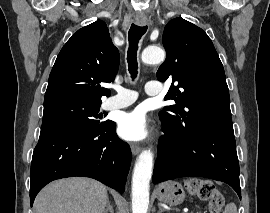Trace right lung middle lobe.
<instances>
[{
  "label": "right lung middle lobe",
  "mask_w": 270,
  "mask_h": 213,
  "mask_svg": "<svg viewBox=\"0 0 270 213\" xmlns=\"http://www.w3.org/2000/svg\"><path fill=\"white\" fill-rule=\"evenodd\" d=\"M101 103L65 100L44 106L42 126H65L81 130H99L107 125L99 113Z\"/></svg>",
  "instance_id": "right-lung-middle-lobe-1"
}]
</instances>
